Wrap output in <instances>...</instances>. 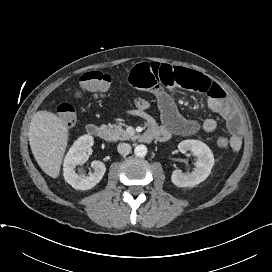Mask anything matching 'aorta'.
I'll return each mask as SVG.
<instances>
[{
  "label": "aorta",
  "mask_w": 272,
  "mask_h": 272,
  "mask_svg": "<svg viewBox=\"0 0 272 272\" xmlns=\"http://www.w3.org/2000/svg\"><path fill=\"white\" fill-rule=\"evenodd\" d=\"M134 153L138 157H144L147 154V147L145 145H137L134 149Z\"/></svg>",
  "instance_id": "obj_1"
}]
</instances>
